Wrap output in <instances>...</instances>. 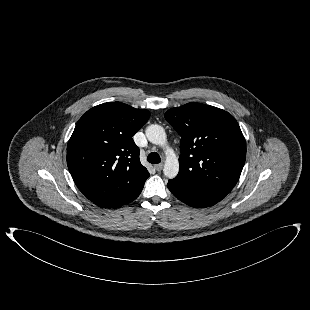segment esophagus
Wrapping results in <instances>:
<instances>
[{"label":"esophagus","instance_id":"obj_1","mask_svg":"<svg viewBox=\"0 0 310 310\" xmlns=\"http://www.w3.org/2000/svg\"><path fill=\"white\" fill-rule=\"evenodd\" d=\"M155 169L160 172L163 169V164H157L155 165Z\"/></svg>","mask_w":310,"mask_h":310}]
</instances>
